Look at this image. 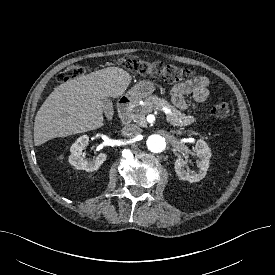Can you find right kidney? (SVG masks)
<instances>
[{"label":"right kidney","mask_w":275,"mask_h":275,"mask_svg":"<svg viewBox=\"0 0 275 275\" xmlns=\"http://www.w3.org/2000/svg\"><path fill=\"white\" fill-rule=\"evenodd\" d=\"M89 137L83 135L79 137L75 143L71 146V154L69 156V162L76 169L85 170L87 172L96 171L106 160L107 155L105 153H100L93 159H84L82 155L83 149L88 146Z\"/></svg>","instance_id":"1"}]
</instances>
